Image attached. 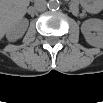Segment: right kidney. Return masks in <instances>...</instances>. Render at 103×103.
<instances>
[{
    "mask_svg": "<svg viewBox=\"0 0 103 103\" xmlns=\"http://www.w3.org/2000/svg\"><path fill=\"white\" fill-rule=\"evenodd\" d=\"M27 23L19 22L8 33L7 37L10 41H16L21 38L26 31Z\"/></svg>",
    "mask_w": 103,
    "mask_h": 103,
    "instance_id": "ca27d5eb",
    "label": "right kidney"
}]
</instances>
